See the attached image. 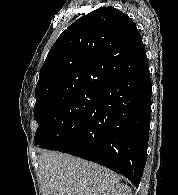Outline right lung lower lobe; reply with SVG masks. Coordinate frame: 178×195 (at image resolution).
<instances>
[{"mask_svg":"<svg viewBox=\"0 0 178 195\" xmlns=\"http://www.w3.org/2000/svg\"><path fill=\"white\" fill-rule=\"evenodd\" d=\"M151 89L148 63L106 84L53 150L101 164L138 187L146 164Z\"/></svg>","mask_w":178,"mask_h":195,"instance_id":"98d812e1","label":"right lung lower lobe"}]
</instances>
